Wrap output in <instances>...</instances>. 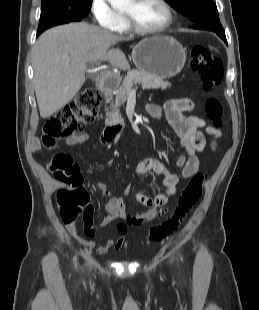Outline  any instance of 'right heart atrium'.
<instances>
[{"instance_id": "d8ad5b80", "label": "right heart atrium", "mask_w": 259, "mask_h": 310, "mask_svg": "<svg viewBox=\"0 0 259 310\" xmlns=\"http://www.w3.org/2000/svg\"><path fill=\"white\" fill-rule=\"evenodd\" d=\"M91 13L96 22L111 31H120L124 24V17L115 11L108 0H91Z\"/></svg>"}]
</instances>
